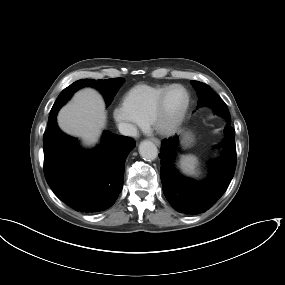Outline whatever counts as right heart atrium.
Returning a JSON list of instances; mask_svg holds the SVG:
<instances>
[{"mask_svg": "<svg viewBox=\"0 0 285 285\" xmlns=\"http://www.w3.org/2000/svg\"><path fill=\"white\" fill-rule=\"evenodd\" d=\"M112 118L119 132L126 136L134 135L142 126V123L134 116L124 101L113 108Z\"/></svg>", "mask_w": 285, "mask_h": 285, "instance_id": "d8ad5b80", "label": "right heart atrium"}]
</instances>
